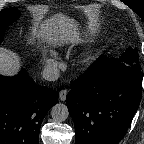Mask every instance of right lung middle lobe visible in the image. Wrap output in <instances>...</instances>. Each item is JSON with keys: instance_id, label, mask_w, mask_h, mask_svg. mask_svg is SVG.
<instances>
[{"instance_id": "1", "label": "right lung middle lobe", "mask_w": 144, "mask_h": 144, "mask_svg": "<svg viewBox=\"0 0 144 144\" xmlns=\"http://www.w3.org/2000/svg\"><path fill=\"white\" fill-rule=\"evenodd\" d=\"M19 15L20 13L16 8H9L0 11V43L7 24L16 20Z\"/></svg>"}]
</instances>
